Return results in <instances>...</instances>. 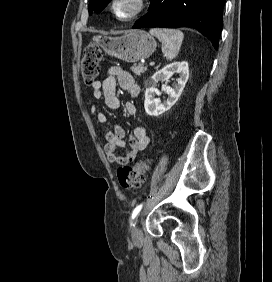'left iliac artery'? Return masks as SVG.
Here are the masks:
<instances>
[{"mask_svg":"<svg viewBox=\"0 0 272 282\" xmlns=\"http://www.w3.org/2000/svg\"><path fill=\"white\" fill-rule=\"evenodd\" d=\"M143 204L138 205L132 212V216L131 219L134 220L136 218V216L139 214L141 208H142ZM132 225V223H131Z\"/></svg>","mask_w":272,"mask_h":282,"instance_id":"44dca946","label":"left iliac artery"}]
</instances>
